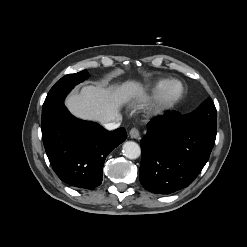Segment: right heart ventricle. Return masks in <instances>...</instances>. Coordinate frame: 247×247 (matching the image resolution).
<instances>
[{
	"instance_id": "e07e8e85",
	"label": "right heart ventricle",
	"mask_w": 247,
	"mask_h": 247,
	"mask_svg": "<svg viewBox=\"0 0 247 247\" xmlns=\"http://www.w3.org/2000/svg\"><path fill=\"white\" fill-rule=\"evenodd\" d=\"M167 82L166 79H162L153 84L151 92L155 93L161 89V87Z\"/></svg>"
}]
</instances>
